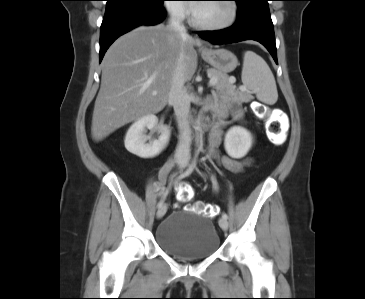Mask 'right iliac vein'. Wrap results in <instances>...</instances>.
<instances>
[{
	"mask_svg": "<svg viewBox=\"0 0 365 299\" xmlns=\"http://www.w3.org/2000/svg\"><path fill=\"white\" fill-rule=\"evenodd\" d=\"M178 165H179L180 169H183V168H185L186 163L184 160H180ZM166 211H167V205L163 204L161 207H159V209L157 211V217L162 218L165 215Z\"/></svg>",
	"mask_w": 365,
	"mask_h": 299,
	"instance_id": "obj_1",
	"label": "right iliac vein"
}]
</instances>
